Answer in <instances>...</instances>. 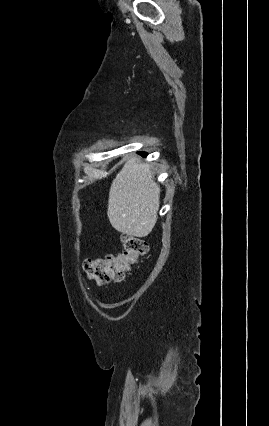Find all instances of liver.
<instances>
[{"label":"liver","mask_w":269,"mask_h":426,"mask_svg":"<svg viewBox=\"0 0 269 426\" xmlns=\"http://www.w3.org/2000/svg\"><path fill=\"white\" fill-rule=\"evenodd\" d=\"M160 206V187L147 163L130 159L113 180L107 216L112 227L128 236L146 237L154 228Z\"/></svg>","instance_id":"liver-1"}]
</instances>
